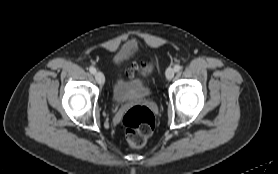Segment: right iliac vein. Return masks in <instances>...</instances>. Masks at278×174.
Returning <instances> with one entry per match:
<instances>
[{"instance_id":"63e3f726","label":"right iliac vein","mask_w":278,"mask_h":174,"mask_svg":"<svg viewBox=\"0 0 278 174\" xmlns=\"http://www.w3.org/2000/svg\"><path fill=\"white\" fill-rule=\"evenodd\" d=\"M95 79L99 85H103L105 82V77L102 72H96Z\"/></svg>"}]
</instances>
